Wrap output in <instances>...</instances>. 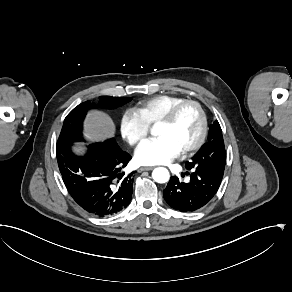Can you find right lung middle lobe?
I'll return each instance as SVG.
<instances>
[{"label": "right lung middle lobe", "instance_id": "obj_1", "mask_svg": "<svg viewBox=\"0 0 292 292\" xmlns=\"http://www.w3.org/2000/svg\"><path fill=\"white\" fill-rule=\"evenodd\" d=\"M131 100L132 98L102 96L100 97L98 104L90 102H83L79 104L66 116L57 141V145L73 143L82 140L83 120L89 109L95 107L115 109L128 103ZM105 142L116 144L114 138L108 139Z\"/></svg>", "mask_w": 292, "mask_h": 292}]
</instances>
